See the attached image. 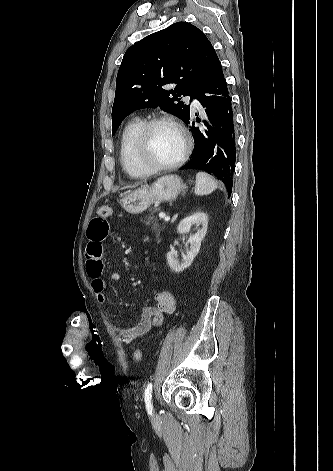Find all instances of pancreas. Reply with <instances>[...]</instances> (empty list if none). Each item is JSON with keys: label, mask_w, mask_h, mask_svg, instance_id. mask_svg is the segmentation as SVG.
<instances>
[{"label": "pancreas", "mask_w": 333, "mask_h": 471, "mask_svg": "<svg viewBox=\"0 0 333 471\" xmlns=\"http://www.w3.org/2000/svg\"><path fill=\"white\" fill-rule=\"evenodd\" d=\"M155 211L151 212L150 216H148L147 220L145 221L146 225L151 227L156 234H159L164 228V224L158 222L157 218L153 216Z\"/></svg>", "instance_id": "cf45deb5"}]
</instances>
